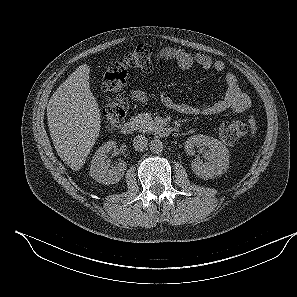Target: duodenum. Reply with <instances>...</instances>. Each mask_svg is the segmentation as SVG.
<instances>
[{"mask_svg":"<svg viewBox=\"0 0 297 297\" xmlns=\"http://www.w3.org/2000/svg\"><path fill=\"white\" fill-rule=\"evenodd\" d=\"M136 129L137 122L134 120H128L121 125L120 132L124 135H130L134 133ZM176 131L177 129L175 127H159L157 128L156 133L161 137H167Z\"/></svg>","mask_w":297,"mask_h":297,"instance_id":"1","label":"duodenum"}]
</instances>
